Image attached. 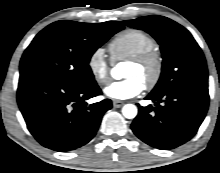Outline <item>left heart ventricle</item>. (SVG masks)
Wrapping results in <instances>:
<instances>
[{
  "mask_svg": "<svg viewBox=\"0 0 220 173\" xmlns=\"http://www.w3.org/2000/svg\"><path fill=\"white\" fill-rule=\"evenodd\" d=\"M149 70L148 69H142L132 63H128L126 69H125V77H137L139 78L143 83L146 81L147 77L149 76Z\"/></svg>",
  "mask_w": 220,
  "mask_h": 173,
  "instance_id": "obj_1",
  "label": "left heart ventricle"
}]
</instances>
